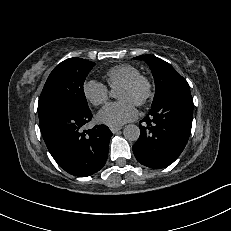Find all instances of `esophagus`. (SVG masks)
<instances>
[{"mask_svg":"<svg viewBox=\"0 0 231 231\" xmlns=\"http://www.w3.org/2000/svg\"><path fill=\"white\" fill-rule=\"evenodd\" d=\"M122 129V127H111L110 130L113 134L117 133L118 131H120Z\"/></svg>","mask_w":231,"mask_h":231,"instance_id":"esophagus-1","label":"esophagus"}]
</instances>
